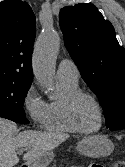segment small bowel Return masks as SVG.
<instances>
[{"label":"small bowel","mask_w":125,"mask_h":167,"mask_svg":"<svg viewBox=\"0 0 125 167\" xmlns=\"http://www.w3.org/2000/svg\"><path fill=\"white\" fill-rule=\"evenodd\" d=\"M75 167H84V166H75ZM87 167H102L101 165L92 164Z\"/></svg>","instance_id":"small-bowel-1"}]
</instances>
